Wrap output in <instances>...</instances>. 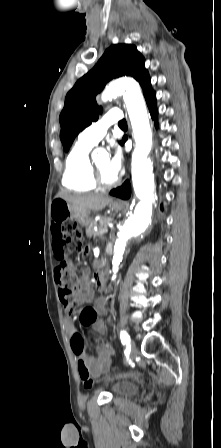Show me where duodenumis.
Wrapping results in <instances>:
<instances>
[{
    "label": "duodenum",
    "mask_w": 221,
    "mask_h": 448,
    "mask_svg": "<svg viewBox=\"0 0 221 448\" xmlns=\"http://www.w3.org/2000/svg\"><path fill=\"white\" fill-rule=\"evenodd\" d=\"M104 268L105 267L95 275V284L99 289L103 288L106 283V273Z\"/></svg>",
    "instance_id": "1"
}]
</instances>
